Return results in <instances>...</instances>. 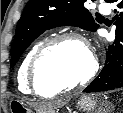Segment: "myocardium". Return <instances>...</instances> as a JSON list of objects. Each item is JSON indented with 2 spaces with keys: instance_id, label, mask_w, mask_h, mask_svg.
Here are the masks:
<instances>
[{
  "instance_id": "obj_1",
  "label": "myocardium",
  "mask_w": 123,
  "mask_h": 113,
  "mask_svg": "<svg viewBox=\"0 0 123 113\" xmlns=\"http://www.w3.org/2000/svg\"><path fill=\"white\" fill-rule=\"evenodd\" d=\"M64 41H74L82 45L85 50L87 51L90 57V69L88 73L82 77L80 80L69 84V85H58L54 86L50 89H44L38 79V65L41 59L51 51L56 45ZM97 61L92 53L87 40L80 34L77 33H63L57 36H54L46 41H44L35 51L33 54L29 67H28V81L30 86L37 92V93H61V92H68L71 90L76 89L77 87L83 86L89 81H91L97 73Z\"/></svg>"
}]
</instances>
